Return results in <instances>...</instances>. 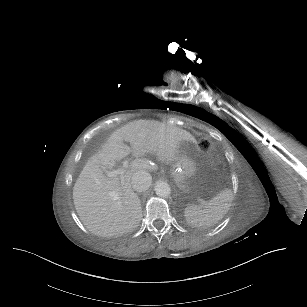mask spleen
<instances>
[{
  "label": "spleen",
  "instance_id": "obj_1",
  "mask_svg": "<svg viewBox=\"0 0 307 307\" xmlns=\"http://www.w3.org/2000/svg\"><path fill=\"white\" fill-rule=\"evenodd\" d=\"M232 200V191L224 189L206 202L204 206L201 203L189 204L185 208V215L197 227H210L227 214Z\"/></svg>",
  "mask_w": 307,
  "mask_h": 307
}]
</instances>
